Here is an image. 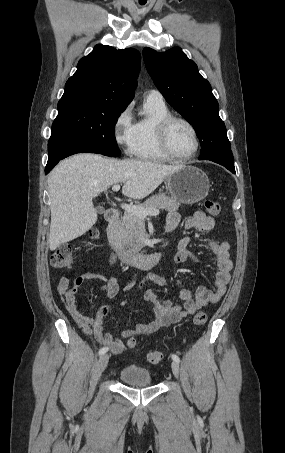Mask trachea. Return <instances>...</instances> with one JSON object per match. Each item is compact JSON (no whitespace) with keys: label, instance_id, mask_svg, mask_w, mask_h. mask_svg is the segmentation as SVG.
Masks as SVG:
<instances>
[{"label":"trachea","instance_id":"1","mask_svg":"<svg viewBox=\"0 0 285 453\" xmlns=\"http://www.w3.org/2000/svg\"><path fill=\"white\" fill-rule=\"evenodd\" d=\"M143 1H145V2H143ZM145 3H146V0H140L141 5H144Z\"/></svg>","mask_w":285,"mask_h":453}]
</instances>
